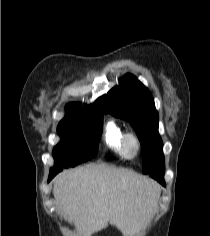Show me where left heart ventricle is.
<instances>
[{
	"label": "left heart ventricle",
	"instance_id": "obj_1",
	"mask_svg": "<svg viewBox=\"0 0 210 236\" xmlns=\"http://www.w3.org/2000/svg\"><path fill=\"white\" fill-rule=\"evenodd\" d=\"M130 151H131V152L133 151V147H132V146L130 147Z\"/></svg>",
	"mask_w": 210,
	"mask_h": 236
}]
</instances>
